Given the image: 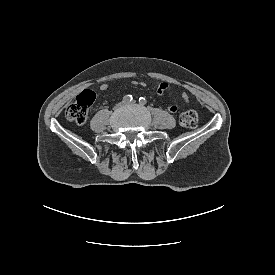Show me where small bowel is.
<instances>
[{"instance_id":"small-bowel-1","label":"small bowel","mask_w":275,"mask_h":275,"mask_svg":"<svg viewBox=\"0 0 275 275\" xmlns=\"http://www.w3.org/2000/svg\"><path fill=\"white\" fill-rule=\"evenodd\" d=\"M139 85L142 86V87H144L145 83L144 82H140ZM109 87H110L109 84L103 83V84L100 85L99 89L101 91H105V90L109 89ZM166 87H167L166 84H161L158 87V89H157V94L159 96H163L164 92L166 91ZM181 98H182L183 102H188L189 99H190V96H189L188 93L183 92L182 95H181ZM169 110H170V112L175 113L178 110V107L176 105H171L169 107Z\"/></svg>"}]
</instances>
